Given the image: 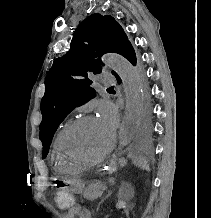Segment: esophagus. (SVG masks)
Instances as JSON below:
<instances>
[{
	"label": "esophagus",
	"instance_id": "esophagus-1",
	"mask_svg": "<svg viewBox=\"0 0 211 218\" xmlns=\"http://www.w3.org/2000/svg\"><path fill=\"white\" fill-rule=\"evenodd\" d=\"M111 168V163H103V167L101 168L102 172H109Z\"/></svg>",
	"mask_w": 211,
	"mask_h": 218
}]
</instances>
